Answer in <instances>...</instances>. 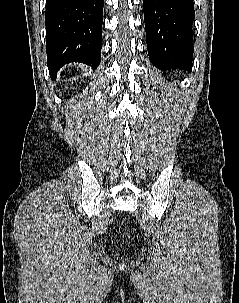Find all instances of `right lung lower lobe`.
Instances as JSON below:
<instances>
[{"mask_svg": "<svg viewBox=\"0 0 239 303\" xmlns=\"http://www.w3.org/2000/svg\"><path fill=\"white\" fill-rule=\"evenodd\" d=\"M104 0H46L47 66L52 79L67 63L100 64Z\"/></svg>", "mask_w": 239, "mask_h": 303, "instance_id": "obj_1", "label": "right lung lower lobe"}]
</instances>
